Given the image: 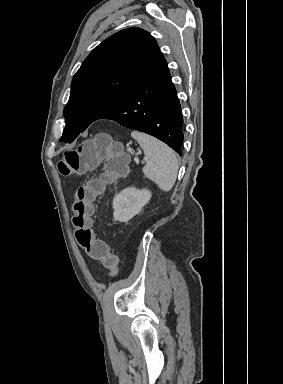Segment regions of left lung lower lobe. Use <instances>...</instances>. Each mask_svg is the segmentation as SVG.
I'll list each match as a JSON object with an SVG mask.
<instances>
[{"instance_id": "left-lung-lower-lobe-1", "label": "left lung lower lobe", "mask_w": 283, "mask_h": 384, "mask_svg": "<svg viewBox=\"0 0 283 384\" xmlns=\"http://www.w3.org/2000/svg\"><path fill=\"white\" fill-rule=\"evenodd\" d=\"M100 119L150 134L182 154L183 117L166 60Z\"/></svg>"}]
</instances>
